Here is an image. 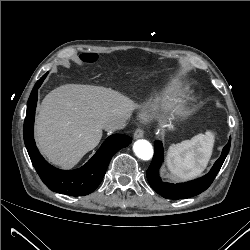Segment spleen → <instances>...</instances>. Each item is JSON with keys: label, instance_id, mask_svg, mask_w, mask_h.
Returning a JSON list of instances; mask_svg holds the SVG:
<instances>
[{"label": "spleen", "instance_id": "3e777b00", "mask_svg": "<svg viewBox=\"0 0 250 250\" xmlns=\"http://www.w3.org/2000/svg\"><path fill=\"white\" fill-rule=\"evenodd\" d=\"M213 135L198 134L191 140L171 145L167 152V165L178 178L199 176L206 168L213 150Z\"/></svg>", "mask_w": 250, "mask_h": 250}]
</instances>
